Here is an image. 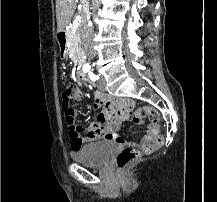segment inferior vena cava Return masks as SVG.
I'll list each match as a JSON object with an SVG mask.
<instances>
[{
  "label": "inferior vena cava",
  "instance_id": "1",
  "mask_svg": "<svg viewBox=\"0 0 217 202\" xmlns=\"http://www.w3.org/2000/svg\"><path fill=\"white\" fill-rule=\"evenodd\" d=\"M82 6L86 8L87 14L86 18L87 20H90V14H89V0H80ZM81 42L82 46L84 48V52L87 56V58H94L95 56V50L93 46V30L92 28H86V30H81Z\"/></svg>",
  "mask_w": 217,
  "mask_h": 202
}]
</instances>
